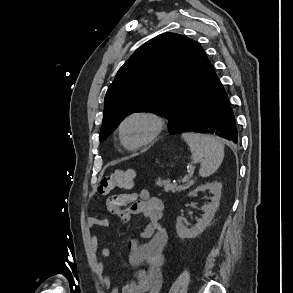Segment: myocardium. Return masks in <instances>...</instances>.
<instances>
[{"label": "myocardium", "instance_id": "f54148a6", "mask_svg": "<svg viewBox=\"0 0 293 293\" xmlns=\"http://www.w3.org/2000/svg\"><path fill=\"white\" fill-rule=\"evenodd\" d=\"M135 118H143V119L148 120L151 123L152 128H151V132L147 138H145L144 140H142L138 143L129 144L124 137V127L129 121H131L132 119H135ZM163 129H164V121L160 116H158L157 114H155L153 112H149V111H136V112L129 114L121 121L119 128H118V132H119L120 140L125 148H127L129 150H137V149H140V148L147 146L148 144L154 142L159 137V135L162 133Z\"/></svg>", "mask_w": 293, "mask_h": 293}]
</instances>
